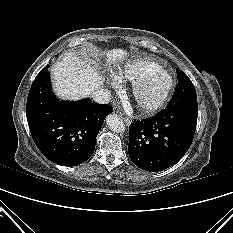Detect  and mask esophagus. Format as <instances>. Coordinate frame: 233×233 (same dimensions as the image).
<instances>
[{
  "mask_svg": "<svg viewBox=\"0 0 233 233\" xmlns=\"http://www.w3.org/2000/svg\"><path fill=\"white\" fill-rule=\"evenodd\" d=\"M121 117H122V119L124 120V122H125L127 125H129V124L131 123V120H130L128 117H126V116H124V115H121Z\"/></svg>",
  "mask_w": 233,
  "mask_h": 233,
  "instance_id": "esophagus-1",
  "label": "esophagus"
}]
</instances>
